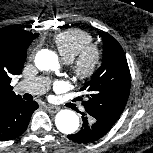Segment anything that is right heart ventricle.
<instances>
[{
    "label": "right heart ventricle",
    "instance_id": "obj_1",
    "mask_svg": "<svg viewBox=\"0 0 153 153\" xmlns=\"http://www.w3.org/2000/svg\"><path fill=\"white\" fill-rule=\"evenodd\" d=\"M93 37L87 31L78 28L64 30L53 37V42L66 62H71L77 54L88 44H91Z\"/></svg>",
    "mask_w": 153,
    "mask_h": 153
}]
</instances>
